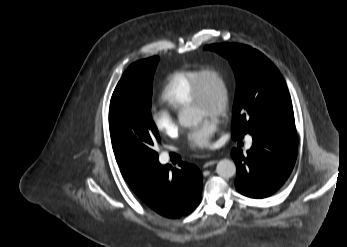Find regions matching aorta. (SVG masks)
<instances>
[{
  "label": "aorta",
  "mask_w": 347,
  "mask_h": 247,
  "mask_svg": "<svg viewBox=\"0 0 347 247\" xmlns=\"http://www.w3.org/2000/svg\"><path fill=\"white\" fill-rule=\"evenodd\" d=\"M179 124L182 127H192L201 122V113L193 108H186L178 115ZM217 174L222 178H231L236 173V165L232 160L222 159L216 167Z\"/></svg>",
  "instance_id": "1"
}]
</instances>
